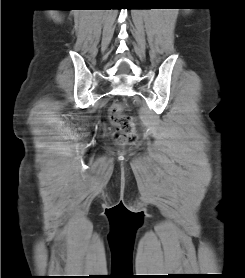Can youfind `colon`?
Listing matches in <instances>:
<instances>
[{"label": "colon", "mask_w": 245, "mask_h": 278, "mask_svg": "<svg viewBox=\"0 0 245 278\" xmlns=\"http://www.w3.org/2000/svg\"><path fill=\"white\" fill-rule=\"evenodd\" d=\"M127 105L123 102L114 104L109 111L110 119L112 123L121 131L118 135L120 142L126 141L133 135L134 123L129 115L124 113Z\"/></svg>", "instance_id": "colon-1"}]
</instances>
